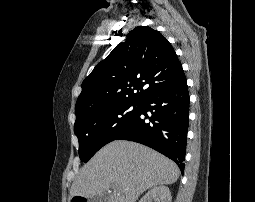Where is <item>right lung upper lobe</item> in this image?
Returning a JSON list of instances; mask_svg holds the SVG:
<instances>
[{"mask_svg":"<svg viewBox=\"0 0 255 202\" xmlns=\"http://www.w3.org/2000/svg\"><path fill=\"white\" fill-rule=\"evenodd\" d=\"M126 37L83 81L76 120L109 105L141 103L186 79L173 47L160 32L138 26Z\"/></svg>","mask_w":255,"mask_h":202,"instance_id":"obj_1","label":"right lung upper lobe"}]
</instances>
